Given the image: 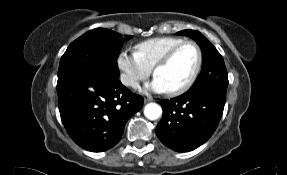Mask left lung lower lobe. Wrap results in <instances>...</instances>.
<instances>
[{"instance_id": "0a47b994", "label": "left lung lower lobe", "mask_w": 287, "mask_h": 175, "mask_svg": "<svg viewBox=\"0 0 287 175\" xmlns=\"http://www.w3.org/2000/svg\"><path fill=\"white\" fill-rule=\"evenodd\" d=\"M226 93L204 90L162 100L163 116L156 128L160 141L177 152H188L205 143L223 114Z\"/></svg>"}]
</instances>
